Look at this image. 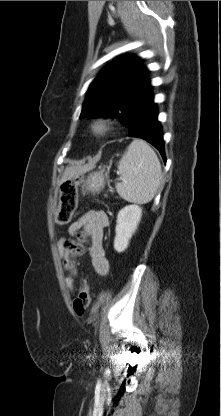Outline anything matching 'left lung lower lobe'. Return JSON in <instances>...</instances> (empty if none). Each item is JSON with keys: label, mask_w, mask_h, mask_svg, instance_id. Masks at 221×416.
Masks as SVG:
<instances>
[{"label": "left lung lower lobe", "mask_w": 221, "mask_h": 416, "mask_svg": "<svg viewBox=\"0 0 221 416\" xmlns=\"http://www.w3.org/2000/svg\"><path fill=\"white\" fill-rule=\"evenodd\" d=\"M153 99L151 93L138 105L128 127V136L141 138L152 144L166 162L162 126L158 121V109Z\"/></svg>", "instance_id": "left-lung-lower-lobe-1"}]
</instances>
